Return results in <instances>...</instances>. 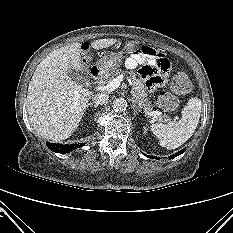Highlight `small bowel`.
<instances>
[{"instance_id":"obj_1","label":"small bowel","mask_w":233,"mask_h":233,"mask_svg":"<svg viewBox=\"0 0 233 233\" xmlns=\"http://www.w3.org/2000/svg\"><path fill=\"white\" fill-rule=\"evenodd\" d=\"M125 64L131 69L140 67L138 74L145 80L150 90H155L164 84V76L170 68L168 60L162 54L146 46L137 49L128 56Z\"/></svg>"}]
</instances>
